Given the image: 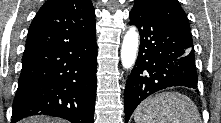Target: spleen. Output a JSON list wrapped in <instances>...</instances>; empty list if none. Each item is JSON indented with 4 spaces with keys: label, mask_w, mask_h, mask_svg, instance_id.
I'll use <instances>...</instances> for the list:
<instances>
[{
    "label": "spleen",
    "mask_w": 221,
    "mask_h": 123,
    "mask_svg": "<svg viewBox=\"0 0 221 123\" xmlns=\"http://www.w3.org/2000/svg\"><path fill=\"white\" fill-rule=\"evenodd\" d=\"M135 123H201L197 106L178 92H163L144 100L134 112Z\"/></svg>",
    "instance_id": "spleen-1"
}]
</instances>
